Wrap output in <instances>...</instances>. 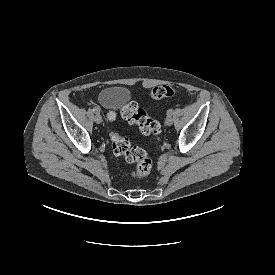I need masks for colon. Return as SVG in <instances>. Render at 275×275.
<instances>
[{"label":"colon","mask_w":275,"mask_h":275,"mask_svg":"<svg viewBox=\"0 0 275 275\" xmlns=\"http://www.w3.org/2000/svg\"><path fill=\"white\" fill-rule=\"evenodd\" d=\"M178 94L175 86L159 85L153 88L151 96L156 100H165ZM123 117L131 123L138 125L144 135H158L161 132L160 123L150 117L144 110L140 109L135 102H126L122 108ZM107 118H115L113 112H108ZM113 152L117 156H122L127 162L135 163V169L131 172V177L141 179L152 170V161L146 151L140 147H133L130 141L115 131L110 132Z\"/></svg>","instance_id":"5ec220e1"}]
</instances>
